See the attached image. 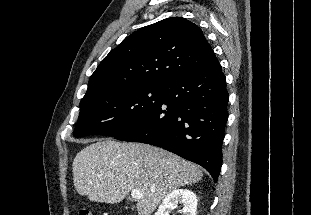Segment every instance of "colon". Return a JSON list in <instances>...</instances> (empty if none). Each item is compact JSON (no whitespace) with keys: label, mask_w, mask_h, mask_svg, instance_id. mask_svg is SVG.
<instances>
[{"label":"colon","mask_w":311,"mask_h":215,"mask_svg":"<svg viewBox=\"0 0 311 215\" xmlns=\"http://www.w3.org/2000/svg\"><path fill=\"white\" fill-rule=\"evenodd\" d=\"M79 215H93V213L88 209H82Z\"/></svg>","instance_id":"colon-1"}]
</instances>
